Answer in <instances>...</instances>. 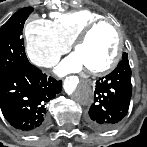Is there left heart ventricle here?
<instances>
[{
	"mask_svg": "<svg viewBox=\"0 0 147 147\" xmlns=\"http://www.w3.org/2000/svg\"><path fill=\"white\" fill-rule=\"evenodd\" d=\"M118 43L116 31L109 25L94 29L75 54L86 69H100L113 58Z\"/></svg>",
	"mask_w": 147,
	"mask_h": 147,
	"instance_id": "b2bd125f",
	"label": "left heart ventricle"
}]
</instances>
